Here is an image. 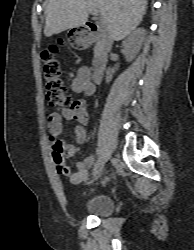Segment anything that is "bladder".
Returning a JSON list of instances; mask_svg holds the SVG:
<instances>
[{"mask_svg":"<svg viewBox=\"0 0 194 250\" xmlns=\"http://www.w3.org/2000/svg\"><path fill=\"white\" fill-rule=\"evenodd\" d=\"M85 212L95 216H108L114 210V202L108 195H95L84 206Z\"/></svg>","mask_w":194,"mask_h":250,"instance_id":"bladder-1","label":"bladder"}]
</instances>
